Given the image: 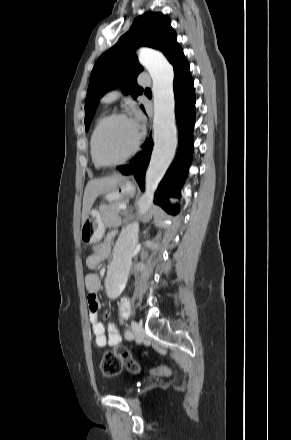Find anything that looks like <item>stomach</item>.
Listing matches in <instances>:
<instances>
[{
	"instance_id": "stomach-1",
	"label": "stomach",
	"mask_w": 291,
	"mask_h": 440,
	"mask_svg": "<svg viewBox=\"0 0 291 440\" xmlns=\"http://www.w3.org/2000/svg\"><path fill=\"white\" fill-rule=\"evenodd\" d=\"M135 193V186L128 180H122L105 198L109 202H120ZM104 233V223L97 210L89 211L81 228V240L85 243L95 241Z\"/></svg>"
}]
</instances>
